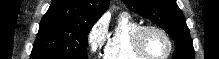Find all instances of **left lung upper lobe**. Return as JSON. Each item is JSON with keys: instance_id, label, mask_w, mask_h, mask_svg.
Returning <instances> with one entry per match:
<instances>
[{"instance_id": "obj_1", "label": "left lung upper lobe", "mask_w": 219, "mask_h": 59, "mask_svg": "<svg viewBox=\"0 0 219 59\" xmlns=\"http://www.w3.org/2000/svg\"><path fill=\"white\" fill-rule=\"evenodd\" d=\"M123 2L131 11L155 22L175 40L173 59H195L189 29L176 0H123Z\"/></svg>"}]
</instances>
